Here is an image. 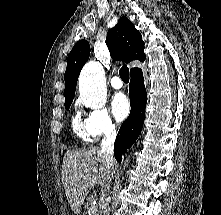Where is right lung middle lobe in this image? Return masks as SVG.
Returning a JSON list of instances; mask_svg holds the SVG:
<instances>
[{
  "mask_svg": "<svg viewBox=\"0 0 221 215\" xmlns=\"http://www.w3.org/2000/svg\"><path fill=\"white\" fill-rule=\"evenodd\" d=\"M72 101H73V100L65 101V108H66L67 110H69Z\"/></svg>",
  "mask_w": 221,
  "mask_h": 215,
  "instance_id": "right-lung-middle-lobe-1",
  "label": "right lung middle lobe"
}]
</instances>
